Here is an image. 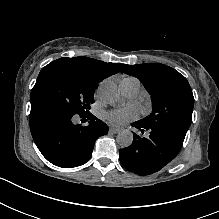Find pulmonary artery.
I'll list each match as a JSON object with an SVG mask.
<instances>
[{"instance_id": "obj_1", "label": "pulmonary artery", "mask_w": 219, "mask_h": 219, "mask_svg": "<svg viewBox=\"0 0 219 219\" xmlns=\"http://www.w3.org/2000/svg\"><path fill=\"white\" fill-rule=\"evenodd\" d=\"M122 93L127 98H134L139 92V85L120 86Z\"/></svg>"}]
</instances>
